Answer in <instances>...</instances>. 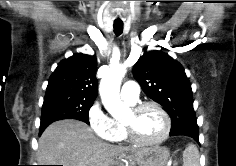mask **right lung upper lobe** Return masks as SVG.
I'll use <instances>...</instances> for the list:
<instances>
[{
    "mask_svg": "<svg viewBox=\"0 0 236 166\" xmlns=\"http://www.w3.org/2000/svg\"><path fill=\"white\" fill-rule=\"evenodd\" d=\"M96 56L75 54L62 60L49 79L46 96L65 95L95 100L97 97Z\"/></svg>",
    "mask_w": 236,
    "mask_h": 166,
    "instance_id": "right-lung-upper-lobe-1",
    "label": "right lung upper lobe"
}]
</instances>
